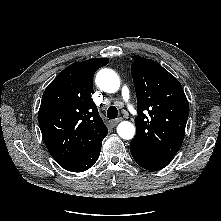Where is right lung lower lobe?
<instances>
[{
	"instance_id": "98d812e1",
	"label": "right lung lower lobe",
	"mask_w": 221,
	"mask_h": 221,
	"mask_svg": "<svg viewBox=\"0 0 221 221\" xmlns=\"http://www.w3.org/2000/svg\"><path fill=\"white\" fill-rule=\"evenodd\" d=\"M107 133L96 141L89 149L81 153L79 157L65 165L63 168L72 172H83L94 165L99 157L102 141Z\"/></svg>"
}]
</instances>
